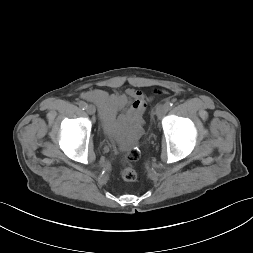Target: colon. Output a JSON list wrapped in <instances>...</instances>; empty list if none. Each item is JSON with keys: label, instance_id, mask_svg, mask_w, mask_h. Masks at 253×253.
I'll use <instances>...</instances> for the list:
<instances>
[{"label": "colon", "instance_id": "colon-1", "mask_svg": "<svg viewBox=\"0 0 253 253\" xmlns=\"http://www.w3.org/2000/svg\"><path fill=\"white\" fill-rule=\"evenodd\" d=\"M138 158L139 150L137 148H133L123 159L121 163L120 174L125 181H135L137 179V172L133 167V162L138 160Z\"/></svg>", "mask_w": 253, "mask_h": 253}]
</instances>
